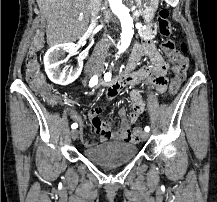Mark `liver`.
Masks as SVG:
<instances>
[{
	"label": "liver",
	"instance_id": "6515ba94",
	"mask_svg": "<svg viewBox=\"0 0 217 202\" xmlns=\"http://www.w3.org/2000/svg\"><path fill=\"white\" fill-rule=\"evenodd\" d=\"M36 2L46 18L48 46L75 42L85 34L89 24V0H36Z\"/></svg>",
	"mask_w": 217,
	"mask_h": 202
}]
</instances>
